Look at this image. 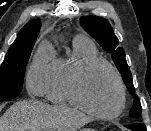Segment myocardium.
Masks as SVG:
<instances>
[{
	"label": "myocardium",
	"mask_w": 151,
	"mask_h": 131,
	"mask_svg": "<svg viewBox=\"0 0 151 131\" xmlns=\"http://www.w3.org/2000/svg\"><path fill=\"white\" fill-rule=\"evenodd\" d=\"M99 66L106 67L112 73V75L114 76L117 82L118 89H119V94H120L119 105L117 109L110 114H104L96 111L88 102L84 92V83L88 75L91 73L92 70H94ZM68 91L70 97L72 98V100L76 105H78L84 111H86L87 113L98 119H102V120L115 119L121 115V113L123 112L126 106L127 93L121 75L113 65H111L108 61L99 57L87 61L77 70V72L72 76L69 82Z\"/></svg>",
	"instance_id": "myocardium-1"
}]
</instances>
